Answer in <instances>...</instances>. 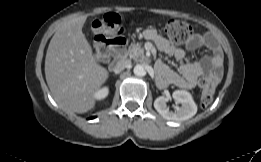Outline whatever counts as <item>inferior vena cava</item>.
Here are the masks:
<instances>
[{
  "label": "inferior vena cava",
  "mask_w": 261,
  "mask_h": 162,
  "mask_svg": "<svg viewBox=\"0 0 261 162\" xmlns=\"http://www.w3.org/2000/svg\"><path fill=\"white\" fill-rule=\"evenodd\" d=\"M131 64V61L129 59H122L120 61H118L114 67H113V71L115 73H120L121 71H123L126 67H128Z\"/></svg>",
  "instance_id": "obj_1"
}]
</instances>
